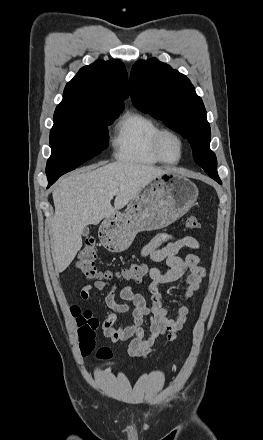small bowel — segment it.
Instances as JSON below:
<instances>
[{
    "instance_id": "c3829d8e",
    "label": "small bowel",
    "mask_w": 263,
    "mask_h": 440,
    "mask_svg": "<svg viewBox=\"0 0 263 440\" xmlns=\"http://www.w3.org/2000/svg\"><path fill=\"white\" fill-rule=\"evenodd\" d=\"M183 248L198 249L199 242L192 236H185L179 239H172L167 234H161L140 249L142 257H149L154 263H163L167 271L162 272L159 267L153 266L149 270L151 283L149 293L151 300L136 291L131 286H124L120 289L119 295L122 302L116 299L119 289L117 281L110 285L101 279L83 286L80 297L84 301L92 298L94 291H100L109 286L105 296V305L111 313L102 322L101 330L105 338L113 343L129 341L125 354L132 358H146L151 355L154 343L158 338L164 336L168 340H174L188 320L190 307L180 306L169 311L162 302L160 286L167 283L182 281L184 300H195V295L200 288L204 278L205 269L200 265V258L196 254H188L184 258L178 256ZM132 311L133 323L122 326L118 322L117 315ZM149 318V332L146 336L142 327L145 319Z\"/></svg>"
}]
</instances>
